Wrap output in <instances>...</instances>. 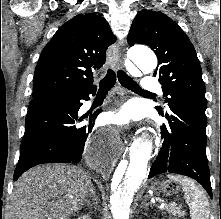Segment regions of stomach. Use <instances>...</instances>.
<instances>
[{"mask_svg": "<svg viewBox=\"0 0 221 219\" xmlns=\"http://www.w3.org/2000/svg\"><path fill=\"white\" fill-rule=\"evenodd\" d=\"M166 186V183L156 181L153 184V190H158V195H166V190H164ZM167 195H175V190H167Z\"/></svg>", "mask_w": 221, "mask_h": 219, "instance_id": "stomach-1", "label": "stomach"}]
</instances>
